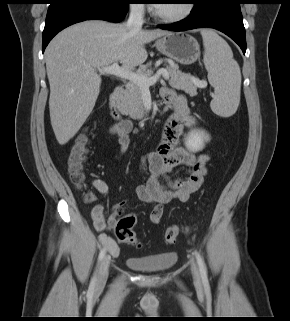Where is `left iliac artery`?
<instances>
[{
	"instance_id": "1",
	"label": "left iliac artery",
	"mask_w": 290,
	"mask_h": 321,
	"mask_svg": "<svg viewBox=\"0 0 290 321\" xmlns=\"http://www.w3.org/2000/svg\"><path fill=\"white\" fill-rule=\"evenodd\" d=\"M195 255H196V259H197V263L199 266V270H200L203 284H204V286H208L209 282H208L207 270H206V265L204 263V260L197 251L195 252Z\"/></svg>"
}]
</instances>
